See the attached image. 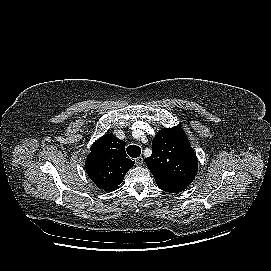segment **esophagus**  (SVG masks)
Wrapping results in <instances>:
<instances>
[{
	"label": "esophagus",
	"instance_id": "esophagus-1",
	"mask_svg": "<svg viewBox=\"0 0 271 271\" xmlns=\"http://www.w3.org/2000/svg\"><path fill=\"white\" fill-rule=\"evenodd\" d=\"M135 163H136L137 166L142 165L143 164V157L140 156V157L136 158Z\"/></svg>",
	"mask_w": 271,
	"mask_h": 271
}]
</instances>
